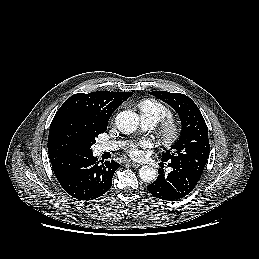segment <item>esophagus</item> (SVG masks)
<instances>
[{
    "label": "esophagus",
    "instance_id": "esophagus-1",
    "mask_svg": "<svg viewBox=\"0 0 259 259\" xmlns=\"http://www.w3.org/2000/svg\"><path fill=\"white\" fill-rule=\"evenodd\" d=\"M127 163H129L134 168H139L141 166V164L136 163V162L131 161V160H127Z\"/></svg>",
    "mask_w": 259,
    "mask_h": 259
}]
</instances>
